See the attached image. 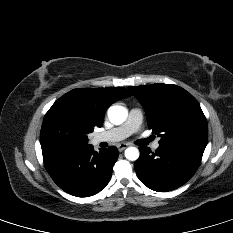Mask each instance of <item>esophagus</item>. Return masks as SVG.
Here are the masks:
<instances>
[{
	"instance_id": "obj_1",
	"label": "esophagus",
	"mask_w": 233,
	"mask_h": 233,
	"mask_svg": "<svg viewBox=\"0 0 233 233\" xmlns=\"http://www.w3.org/2000/svg\"><path fill=\"white\" fill-rule=\"evenodd\" d=\"M128 147V144H126V143H120L119 145H118V150L121 152V151H123L124 149H126Z\"/></svg>"
}]
</instances>
